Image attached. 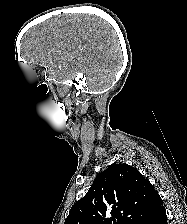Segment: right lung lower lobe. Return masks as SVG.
<instances>
[{"label": "right lung lower lobe", "mask_w": 187, "mask_h": 224, "mask_svg": "<svg viewBox=\"0 0 187 224\" xmlns=\"http://www.w3.org/2000/svg\"><path fill=\"white\" fill-rule=\"evenodd\" d=\"M146 224H167V217L166 212H164L160 217H158L155 220H152L150 222H147Z\"/></svg>", "instance_id": "98d812e1"}]
</instances>
